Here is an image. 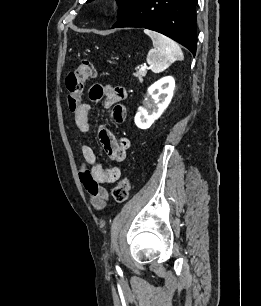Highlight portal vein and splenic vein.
<instances>
[{"label": "portal vein and splenic vein", "mask_w": 261, "mask_h": 306, "mask_svg": "<svg viewBox=\"0 0 261 306\" xmlns=\"http://www.w3.org/2000/svg\"><path fill=\"white\" fill-rule=\"evenodd\" d=\"M146 68H147V66H141V68H140V71H145L146 70Z\"/></svg>", "instance_id": "obj_1"}]
</instances>
